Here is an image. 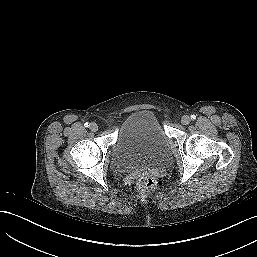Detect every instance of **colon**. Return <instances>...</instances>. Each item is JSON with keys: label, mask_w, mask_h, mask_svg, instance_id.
I'll return each instance as SVG.
<instances>
[{"label": "colon", "mask_w": 257, "mask_h": 257, "mask_svg": "<svg viewBox=\"0 0 257 257\" xmlns=\"http://www.w3.org/2000/svg\"><path fill=\"white\" fill-rule=\"evenodd\" d=\"M161 187V182L152 177H142L137 183V189L141 194L150 193Z\"/></svg>", "instance_id": "5ec220e1"}]
</instances>
